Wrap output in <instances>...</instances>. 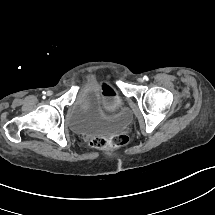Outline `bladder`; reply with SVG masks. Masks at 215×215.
<instances>
[{
    "instance_id": "bladder-1",
    "label": "bladder",
    "mask_w": 215,
    "mask_h": 215,
    "mask_svg": "<svg viewBox=\"0 0 215 215\" xmlns=\"http://www.w3.org/2000/svg\"><path fill=\"white\" fill-rule=\"evenodd\" d=\"M128 119L129 115L126 111L110 118L74 114L69 120V127L77 135L107 137L121 131L126 126Z\"/></svg>"
}]
</instances>
